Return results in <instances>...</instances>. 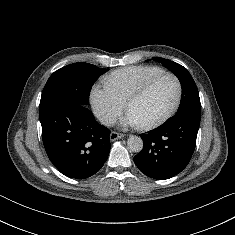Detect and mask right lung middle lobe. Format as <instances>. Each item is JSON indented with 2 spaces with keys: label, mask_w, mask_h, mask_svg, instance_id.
Returning a JSON list of instances; mask_svg holds the SVG:
<instances>
[{
  "label": "right lung middle lobe",
  "mask_w": 235,
  "mask_h": 235,
  "mask_svg": "<svg viewBox=\"0 0 235 235\" xmlns=\"http://www.w3.org/2000/svg\"><path fill=\"white\" fill-rule=\"evenodd\" d=\"M108 69L88 63H73L55 71L48 79L40 100L39 111L64 100L86 106L96 79Z\"/></svg>",
  "instance_id": "obj_1"
}]
</instances>
